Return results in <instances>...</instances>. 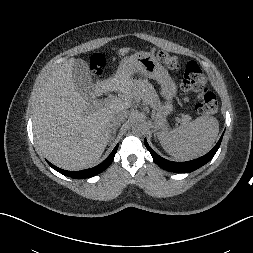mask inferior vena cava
I'll use <instances>...</instances> for the list:
<instances>
[{"mask_svg": "<svg viewBox=\"0 0 253 253\" xmlns=\"http://www.w3.org/2000/svg\"><path fill=\"white\" fill-rule=\"evenodd\" d=\"M128 113L123 111V112H114L113 114H111L110 116V125L112 127H118L121 125V123H123L125 121V119L127 118Z\"/></svg>", "mask_w": 253, "mask_h": 253, "instance_id": "obj_1", "label": "inferior vena cava"}]
</instances>
